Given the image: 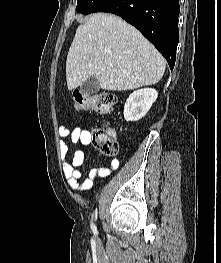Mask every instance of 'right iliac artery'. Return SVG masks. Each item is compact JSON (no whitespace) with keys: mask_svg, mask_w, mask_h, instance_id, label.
Instances as JSON below:
<instances>
[{"mask_svg":"<svg viewBox=\"0 0 221 263\" xmlns=\"http://www.w3.org/2000/svg\"><path fill=\"white\" fill-rule=\"evenodd\" d=\"M94 215H95V213H93V216L92 217H94ZM91 228L93 229V230H96V226H95V224L92 222L91 223Z\"/></svg>","mask_w":221,"mask_h":263,"instance_id":"82829eb1","label":"right iliac artery"}]
</instances>
